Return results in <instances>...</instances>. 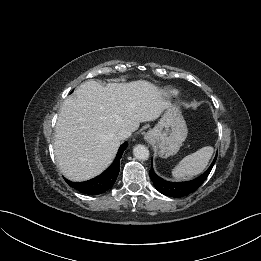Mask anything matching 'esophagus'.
<instances>
[{
	"instance_id": "esophagus-1",
	"label": "esophagus",
	"mask_w": 261,
	"mask_h": 261,
	"mask_svg": "<svg viewBox=\"0 0 261 261\" xmlns=\"http://www.w3.org/2000/svg\"><path fill=\"white\" fill-rule=\"evenodd\" d=\"M150 137H151L150 133H147V134L145 135V139H149Z\"/></svg>"
}]
</instances>
